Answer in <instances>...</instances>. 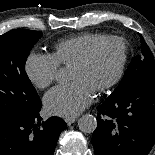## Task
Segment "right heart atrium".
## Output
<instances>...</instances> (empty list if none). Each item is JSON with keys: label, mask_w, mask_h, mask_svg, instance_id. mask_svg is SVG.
Returning a JSON list of instances; mask_svg holds the SVG:
<instances>
[{"label": "right heart atrium", "mask_w": 155, "mask_h": 155, "mask_svg": "<svg viewBox=\"0 0 155 155\" xmlns=\"http://www.w3.org/2000/svg\"><path fill=\"white\" fill-rule=\"evenodd\" d=\"M25 72L35 87L44 89L56 80L59 64L52 55L30 53L25 62Z\"/></svg>", "instance_id": "right-heart-atrium-1"}]
</instances>
